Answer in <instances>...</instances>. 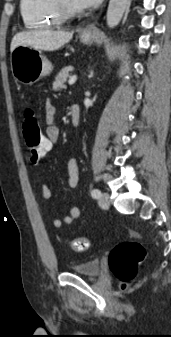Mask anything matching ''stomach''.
I'll list each match as a JSON object with an SVG mask.
<instances>
[{"instance_id": "obj_1", "label": "stomach", "mask_w": 171, "mask_h": 337, "mask_svg": "<svg viewBox=\"0 0 171 337\" xmlns=\"http://www.w3.org/2000/svg\"><path fill=\"white\" fill-rule=\"evenodd\" d=\"M80 39L84 44H90L92 36L81 35ZM10 62L13 77L25 85L37 82L53 70L51 62L41 51L31 46H17L11 53Z\"/></svg>"}]
</instances>
